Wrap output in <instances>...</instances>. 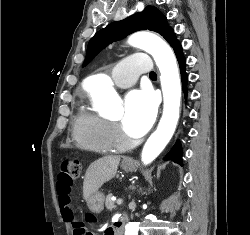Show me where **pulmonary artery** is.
Returning <instances> with one entry per match:
<instances>
[{
  "label": "pulmonary artery",
  "instance_id": "e3ab8cb5",
  "mask_svg": "<svg viewBox=\"0 0 250 235\" xmlns=\"http://www.w3.org/2000/svg\"><path fill=\"white\" fill-rule=\"evenodd\" d=\"M153 68L147 53H134L123 60L112 72L116 86L127 88L132 86L139 73L151 72Z\"/></svg>",
  "mask_w": 250,
  "mask_h": 235
}]
</instances>
